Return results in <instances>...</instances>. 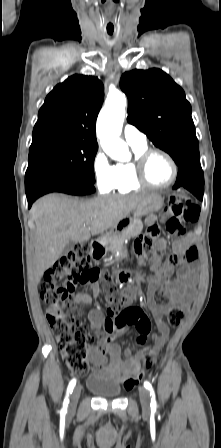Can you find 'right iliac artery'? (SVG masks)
Masks as SVG:
<instances>
[{"instance_id": "obj_1", "label": "right iliac artery", "mask_w": 221, "mask_h": 448, "mask_svg": "<svg viewBox=\"0 0 221 448\" xmlns=\"http://www.w3.org/2000/svg\"><path fill=\"white\" fill-rule=\"evenodd\" d=\"M75 385H76V379H72L70 381L69 385H68L67 392H66V397L64 399L63 408H62V412L63 413L67 412V407H68V403H69L68 397H69V394L72 393L73 388L75 387Z\"/></svg>"}]
</instances>
